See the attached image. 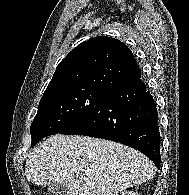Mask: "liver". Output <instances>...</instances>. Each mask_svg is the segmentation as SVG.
Segmentation results:
<instances>
[{"mask_svg": "<svg viewBox=\"0 0 189 195\" xmlns=\"http://www.w3.org/2000/svg\"><path fill=\"white\" fill-rule=\"evenodd\" d=\"M153 162L123 144L87 136L53 135L35 148L25 164L28 181L67 186V195H118L151 180Z\"/></svg>", "mask_w": 189, "mask_h": 195, "instance_id": "1", "label": "liver"}]
</instances>
